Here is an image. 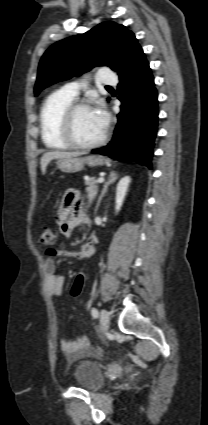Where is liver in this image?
<instances>
[{
	"label": "liver",
	"mask_w": 208,
	"mask_h": 425,
	"mask_svg": "<svg viewBox=\"0 0 208 425\" xmlns=\"http://www.w3.org/2000/svg\"><path fill=\"white\" fill-rule=\"evenodd\" d=\"M83 154H85V152H63V151L47 152L41 157L42 174H45L47 165L54 159L73 158Z\"/></svg>",
	"instance_id": "6515ba94"
}]
</instances>
